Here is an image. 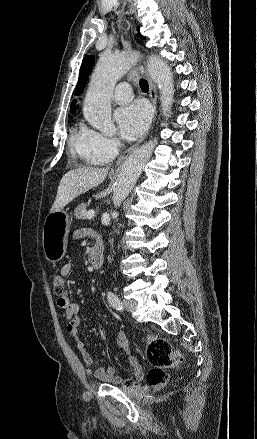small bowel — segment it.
Listing matches in <instances>:
<instances>
[{
    "label": "small bowel",
    "mask_w": 257,
    "mask_h": 439,
    "mask_svg": "<svg viewBox=\"0 0 257 439\" xmlns=\"http://www.w3.org/2000/svg\"><path fill=\"white\" fill-rule=\"evenodd\" d=\"M86 234L85 230H79L75 233L76 238H80ZM72 271L71 264H64L60 269V275L66 277ZM58 306L65 311L68 324L66 327L67 334L75 340L76 348L83 359L86 372L93 374L98 380L110 383L112 385L124 384L121 376L117 375L114 367L111 365H104L95 369L94 362L86 348L84 342L78 336V327L81 322L80 306L73 302L67 294L60 296L57 300ZM116 347L123 350L127 355V361L131 368L132 374L136 381L143 379V369L137 359L130 354L128 347V340L124 332H118L115 336Z\"/></svg>",
    "instance_id": "1"
}]
</instances>
